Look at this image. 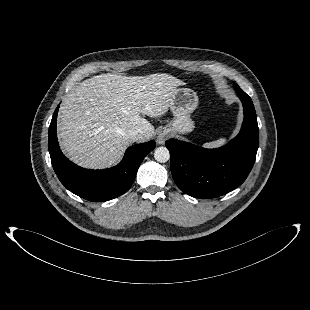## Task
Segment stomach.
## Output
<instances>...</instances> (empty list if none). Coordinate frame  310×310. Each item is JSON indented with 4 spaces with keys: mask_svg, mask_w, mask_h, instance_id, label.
<instances>
[{
    "mask_svg": "<svg viewBox=\"0 0 310 310\" xmlns=\"http://www.w3.org/2000/svg\"><path fill=\"white\" fill-rule=\"evenodd\" d=\"M198 106V96L190 88H177L170 100L169 108L174 115L173 120L165 127L170 132L186 134L194 129L191 113Z\"/></svg>",
    "mask_w": 310,
    "mask_h": 310,
    "instance_id": "stomach-1",
    "label": "stomach"
}]
</instances>
